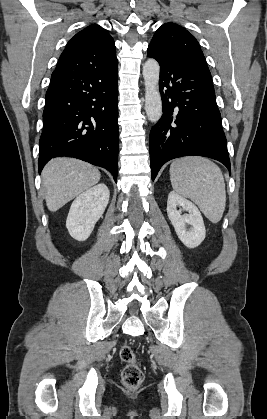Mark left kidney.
<instances>
[{"label": "left kidney", "instance_id": "left-kidney-1", "mask_svg": "<svg viewBox=\"0 0 267 419\" xmlns=\"http://www.w3.org/2000/svg\"><path fill=\"white\" fill-rule=\"evenodd\" d=\"M178 206L188 214L181 215V210H177ZM167 215L178 238L185 246L195 248L203 242L206 236L203 218L192 202L173 191L170 192L167 200ZM186 225L190 228L186 229Z\"/></svg>", "mask_w": 267, "mask_h": 419}]
</instances>
